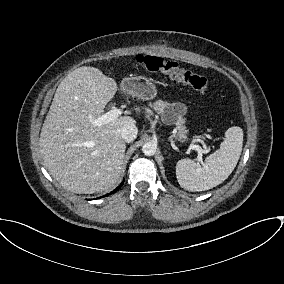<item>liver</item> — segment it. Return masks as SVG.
I'll list each match as a JSON object with an SVG mask.
<instances>
[{
    "mask_svg": "<svg viewBox=\"0 0 284 284\" xmlns=\"http://www.w3.org/2000/svg\"><path fill=\"white\" fill-rule=\"evenodd\" d=\"M116 91L114 79L95 67L82 66L55 92L39 146L49 173L71 192H107L119 181L126 150L121 129L136 121L121 116L102 126L93 124Z\"/></svg>",
    "mask_w": 284,
    "mask_h": 284,
    "instance_id": "6515ba94",
    "label": "liver"
}]
</instances>
